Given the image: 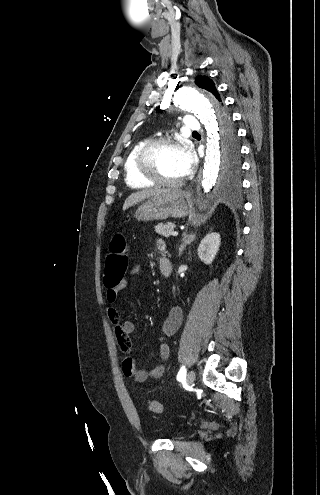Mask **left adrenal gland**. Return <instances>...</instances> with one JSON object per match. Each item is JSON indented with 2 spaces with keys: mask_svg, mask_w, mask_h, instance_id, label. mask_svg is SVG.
<instances>
[{
  "mask_svg": "<svg viewBox=\"0 0 320 495\" xmlns=\"http://www.w3.org/2000/svg\"><path fill=\"white\" fill-rule=\"evenodd\" d=\"M194 235L192 234H186L183 233V238H182V243L180 244L179 247V256L183 253V250L185 249L186 245L190 244Z\"/></svg>",
  "mask_w": 320,
  "mask_h": 495,
  "instance_id": "a2214340",
  "label": "left adrenal gland"
}]
</instances>
